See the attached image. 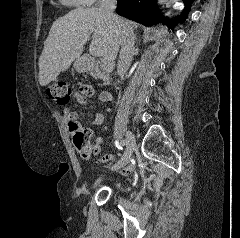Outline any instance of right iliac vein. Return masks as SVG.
Returning <instances> with one entry per match:
<instances>
[{
  "label": "right iliac vein",
  "mask_w": 240,
  "mask_h": 238,
  "mask_svg": "<svg viewBox=\"0 0 240 238\" xmlns=\"http://www.w3.org/2000/svg\"><path fill=\"white\" fill-rule=\"evenodd\" d=\"M125 143H126L125 153H124L123 157L121 158V160H119L116 164H114L111 167L112 171H117V170H120L121 168H123L129 162V160L131 158L132 152H133L136 144H135L134 136L130 132H127V134H126ZM98 183H99V180L94 184V187H96Z\"/></svg>",
  "instance_id": "63e3f726"
}]
</instances>
